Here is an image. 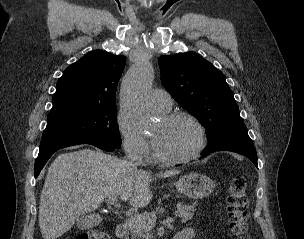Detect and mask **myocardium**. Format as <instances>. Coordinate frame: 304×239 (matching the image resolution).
Masks as SVG:
<instances>
[{"instance_id": "1", "label": "myocardium", "mask_w": 304, "mask_h": 239, "mask_svg": "<svg viewBox=\"0 0 304 239\" xmlns=\"http://www.w3.org/2000/svg\"><path fill=\"white\" fill-rule=\"evenodd\" d=\"M163 121L166 123H170L176 120L184 119L189 122H191L195 128L197 129L198 132V143L194 150L182 157H165L160 155L154 145L153 142V158L165 165H179V164H184L188 163L190 161L195 160L200 156V154L203 152L207 145V132L205 126L202 124V122L193 114L188 113V112H183V111H177V112H172V113H167L163 115Z\"/></svg>"}]
</instances>
